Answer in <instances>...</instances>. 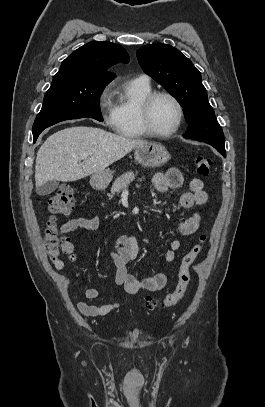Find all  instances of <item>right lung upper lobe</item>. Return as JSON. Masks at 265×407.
Here are the masks:
<instances>
[{
  "instance_id": "1",
  "label": "right lung upper lobe",
  "mask_w": 265,
  "mask_h": 407,
  "mask_svg": "<svg viewBox=\"0 0 265 407\" xmlns=\"http://www.w3.org/2000/svg\"><path fill=\"white\" fill-rule=\"evenodd\" d=\"M120 62H129V55L122 46L107 41H93L66 58L55 76L66 75L79 81L109 83L115 75L106 70Z\"/></svg>"
}]
</instances>
